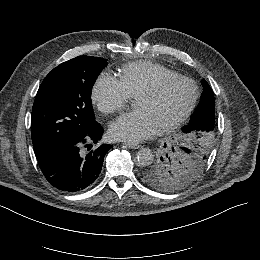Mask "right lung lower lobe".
I'll return each mask as SVG.
<instances>
[{
	"label": "right lung lower lobe",
	"mask_w": 260,
	"mask_h": 260,
	"mask_svg": "<svg viewBox=\"0 0 260 260\" xmlns=\"http://www.w3.org/2000/svg\"><path fill=\"white\" fill-rule=\"evenodd\" d=\"M103 132L101 125L96 123L83 140L37 157L47 181L64 192H79L92 185L101 173L104 156L113 147L99 145Z\"/></svg>",
	"instance_id": "obj_1"
}]
</instances>
